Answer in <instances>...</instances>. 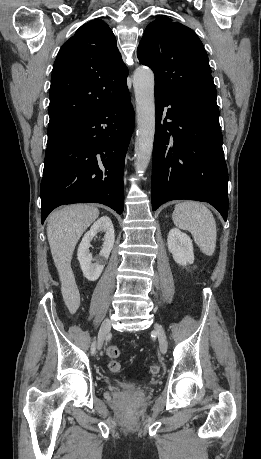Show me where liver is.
I'll return each instance as SVG.
<instances>
[{"mask_svg": "<svg viewBox=\"0 0 261 459\" xmlns=\"http://www.w3.org/2000/svg\"><path fill=\"white\" fill-rule=\"evenodd\" d=\"M98 216L95 206L76 204L55 211L48 218L47 238L63 293L74 286L71 259L75 246Z\"/></svg>", "mask_w": 261, "mask_h": 459, "instance_id": "obj_1", "label": "liver"}]
</instances>
